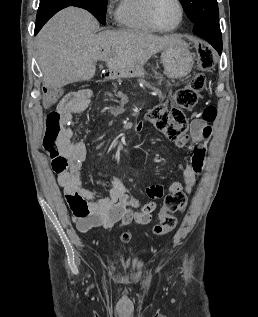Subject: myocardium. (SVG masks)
<instances>
[{
  "mask_svg": "<svg viewBox=\"0 0 258 317\" xmlns=\"http://www.w3.org/2000/svg\"><path fill=\"white\" fill-rule=\"evenodd\" d=\"M158 0H150L147 7H146V19L148 21V23L157 31L160 32H171L174 31L182 22L183 19V5H182V1L181 0H175L177 5H178V9H179V17L177 22L170 28H161L160 26H158L156 24V22L153 19L152 16V9L154 4L157 2Z\"/></svg>",
  "mask_w": 258,
  "mask_h": 317,
  "instance_id": "1",
  "label": "myocardium"
}]
</instances>
